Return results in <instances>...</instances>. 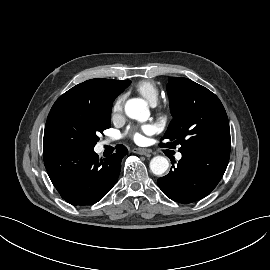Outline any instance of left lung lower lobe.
<instances>
[{"mask_svg": "<svg viewBox=\"0 0 270 270\" xmlns=\"http://www.w3.org/2000/svg\"><path fill=\"white\" fill-rule=\"evenodd\" d=\"M229 156L216 152L182 153L177 166H172L169 174L159 178L158 185L176 202L198 201L217 186L227 168Z\"/></svg>", "mask_w": 270, "mask_h": 270, "instance_id": "left-lung-lower-lobe-1", "label": "left lung lower lobe"}]
</instances>
